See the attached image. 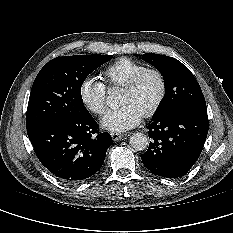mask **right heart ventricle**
Here are the masks:
<instances>
[{"mask_svg":"<svg viewBox=\"0 0 233 233\" xmlns=\"http://www.w3.org/2000/svg\"><path fill=\"white\" fill-rule=\"evenodd\" d=\"M146 68L140 62L122 57L107 66L103 76L110 87H123L132 76Z\"/></svg>","mask_w":233,"mask_h":233,"instance_id":"e07e8e85","label":"right heart ventricle"}]
</instances>
